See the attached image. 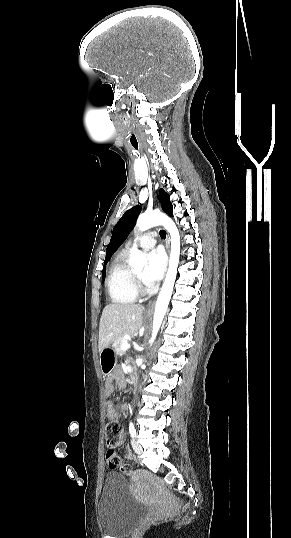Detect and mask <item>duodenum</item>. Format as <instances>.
<instances>
[{
	"label": "duodenum",
	"instance_id": "duodenum-1",
	"mask_svg": "<svg viewBox=\"0 0 291 538\" xmlns=\"http://www.w3.org/2000/svg\"><path fill=\"white\" fill-rule=\"evenodd\" d=\"M131 377H132V380H134V382H135V387H140L141 383L139 382L138 374L136 372H133L131 374Z\"/></svg>",
	"mask_w": 291,
	"mask_h": 538
}]
</instances>
